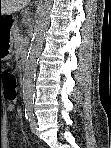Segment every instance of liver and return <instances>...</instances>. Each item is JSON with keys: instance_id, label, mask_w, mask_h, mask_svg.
Segmentation results:
<instances>
[{"instance_id": "6515ba94", "label": "liver", "mask_w": 111, "mask_h": 148, "mask_svg": "<svg viewBox=\"0 0 111 148\" xmlns=\"http://www.w3.org/2000/svg\"><path fill=\"white\" fill-rule=\"evenodd\" d=\"M29 2L30 0H2L0 13L1 15L12 14L23 9Z\"/></svg>"}]
</instances>
